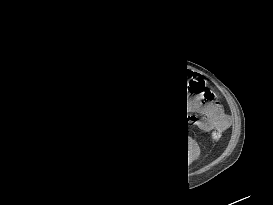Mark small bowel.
<instances>
[{
  "instance_id": "small-bowel-1",
  "label": "small bowel",
  "mask_w": 273,
  "mask_h": 205,
  "mask_svg": "<svg viewBox=\"0 0 273 205\" xmlns=\"http://www.w3.org/2000/svg\"><path fill=\"white\" fill-rule=\"evenodd\" d=\"M194 108L200 113L206 115L210 121L216 120L221 122V121H224L225 119L221 106L219 105L218 102L210 101V102H204L202 104L195 102L193 103V109Z\"/></svg>"
}]
</instances>
